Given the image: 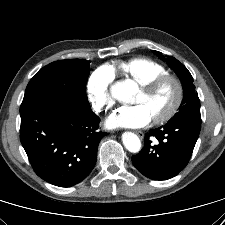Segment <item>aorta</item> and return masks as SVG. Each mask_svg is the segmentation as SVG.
I'll return each instance as SVG.
<instances>
[{"mask_svg": "<svg viewBox=\"0 0 225 225\" xmlns=\"http://www.w3.org/2000/svg\"><path fill=\"white\" fill-rule=\"evenodd\" d=\"M136 89L137 86L132 80L120 81L113 85L112 94L117 100L128 103ZM122 141L125 148L132 153H137L141 149L139 137L132 132H125L122 135Z\"/></svg>", "mask_w": 225, "mask_h": 225, "instance_id": "obj_1", "label": "aorta"}]
</instances>
